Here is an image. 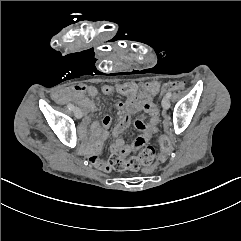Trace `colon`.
Returning <instances> with one entry per match:
<instances>
[{"label": "colon", "instance_id": "1", "mask_svg": "<svg viewBox=\"0 0 241 241\" xmlns=\"http://www.w3.org/2000/svg\"><path fill=\"white\" fill-rule=\"evenodd\" d=\"M186 84V81L183 79H180L177 82L168 81L166 83H163L162 89L158 94V99H163V94L164 92H166V90L176 93L181 91L183 87L186 86ZM159 86V83L155 81L141 82L139 80H134L131 84L126 81L124 84L120 85V92L124 93L126 97H129L130 95L135 94V92L139 90L143 92L154 93L155 88H159ZM171 148L172 146L170 143H168V139L166 137H163L161 139L162 153L160 154V160L153 159L154 157H159L155 148L152 145H146L140 150V152L136 156L130 159H124L118 155H113L109 159L108 164L111 168L116 170H136L144 166L142 174L143 176L148 177L150 176L151 172L156 169V167H165L166 162L163 159L167 157Z\"/></svg>", "mask_w": 241, "mask_h": 241}]
</instances>
